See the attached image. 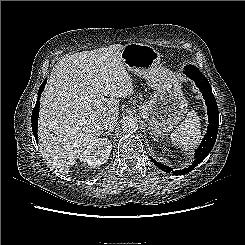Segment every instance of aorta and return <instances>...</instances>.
I'll list each match as a JSON object with an SVG mask.
<instances>
[{
	"label": "aorta",
	"mask_w": 245,
	"mask_h": 245,
	"mask_svg": "<svg viewBox=\"0 0 245 245\" xmlns=\"http://www.w3.org/2000/svg\"><path fill=\"white\" fill-rule=\"evenodd\" d=\"M123 131L134 133L138 129L137 119L133 116H126L121 121Z\"/></svg>",
	"instance_id": "aorta-1"
}]
</instances>
